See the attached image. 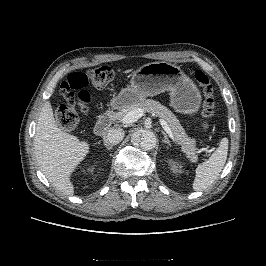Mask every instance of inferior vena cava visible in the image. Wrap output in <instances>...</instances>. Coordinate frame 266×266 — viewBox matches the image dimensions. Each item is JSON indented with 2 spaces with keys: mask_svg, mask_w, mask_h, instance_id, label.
<instances>
[{
  "mask_svg": "<svg viewBox=\"0 0 266 266\" xmlns=\"http://www.w3.org/2000/svg\"><path fill=\"white\" fill-rule=\"evenodd\" d=\"M124 130L122 128H110L104 135L103 140L109 145H116L124 138Z\"/></svg>",
  "mask_w": 266,
  "mask_h": 266,
  "instance_id": "obj_1",
  "label": "inferior vena cava"
}]
</instances>
